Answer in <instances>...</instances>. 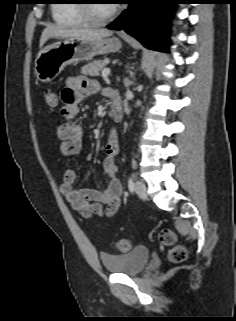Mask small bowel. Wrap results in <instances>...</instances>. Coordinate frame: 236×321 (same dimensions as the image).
<instances>
[{"label": "small bowel", "mask_w": 236, "mask_h": 321, "mask_svg": "<svg viewBox=\"0 0 236 321\" xmlns=\"http://www.w3.org/2000/svg\"><path fill=\"white\" fill-rule=\"evenodd\" d=\"M101 90L99 84L82 76L68 77L61 97L64 106L61 109L63 121L54 127V135L60 141L58 154L64 157L74 156L81 151L83 128L78 122L81 102L90 95ZM107 96H114L110 90L102 91ZM119 153V135L115 129L108 134L105 147V157L102 164V176L107 179L104 189L75 187L77 172L67 169L64 172L63 183L60 187L62 195L72 208L85 218L98 216L111 218L121 204L122 185L117 178ZM106 206V208H104Z\"/></svg>", "instance_id": "small-bowel-1"}]
</instances>
